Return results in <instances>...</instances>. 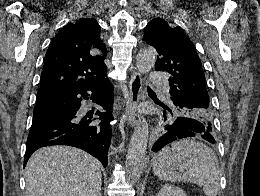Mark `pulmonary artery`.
<instances>
[{
    "label": "pulmonary artery",
    "mask_w": 260,
    "mask_h": 196,
    "mask_svg": "<svg viewBox=\"0 0 260 196\" xmlns=\"http://www.w3.org/2000/svg\"><path fill=\"white\" fill-rule=\"evenodd\" d=\"M148 84H167V79L163 76V72H150Z\"/></svg>",
    "instance_id": "obj_1"
}]
</instances>
